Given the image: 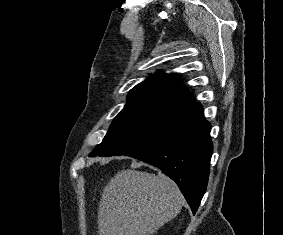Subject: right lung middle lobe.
<instances>
[{
	"label": "right lung middle lobe",
	"mask_w": 283,
	"mask_h": 235,
	"mask_svg": "<svg viewBox=\"0 0 283 235\" xmlns=\"http://www.w3.org/2000/svg\"><path fill=\"white\" fill-rule=\"evenodd\" d=\"M188 110L189 105L174 102H129L91 157L125 155L146 146L167 133Z\"/></svg>",
	"instance_id": "obj_1"
}]
</instances>
